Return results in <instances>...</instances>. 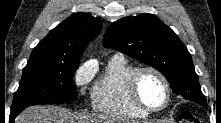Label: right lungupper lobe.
Wrapping results in <instances>:
<instances>
[{"label": "right lung upper lobe", "instance_id": "obj_1", "mask_svg": "<svg viewBox=\"0 0 221 123\" xmlns=\"http://www.w3.org/2000/svg\"><path fill=\"white\" fill-rule=\"evenodd\" d=\"M101 27L100 19L86 13H75L52 29L33 49L30 58L80 60Z\"/></svg>", "mask_w": 221, "mask_h": 123}]
</instances>
